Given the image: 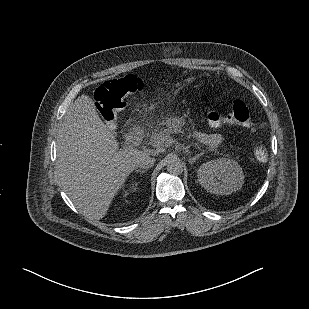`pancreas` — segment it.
I'll list each match as a JSON object with an SVG mask.
<instances>
[{"label":"pancreas","instance_id":"pancreas-1","mask_svg":"<svg viewBox=\"0 0 309 309\" xmlns=\"http://www.w3.org/2000/svg\"><path fill=\"white\" fill-rule=\"evenodd\" d=\"M172 133L171 129H163V130H151L148 134L149 143L153 144L156 140H162L164 139L167 141L170 137V134Z\"/></svg>","mask_w":309,"mask_h":309}]
</instances>
